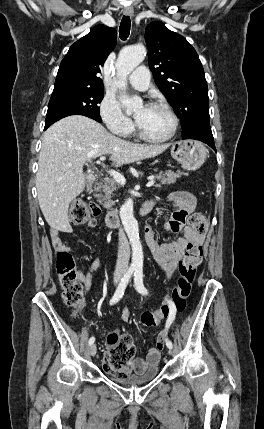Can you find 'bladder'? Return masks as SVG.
Returning a JSON list of instances; mask_svg holds the SVG:
<instances>
[{
	"mask_svg": "<svg viewBox=\"0 0 264 429\" xmlns=\"http://www.w3.org/2000/svg\"><path fill=\"white\" fill-rule=\"evenodd\" d=\"M159 373L158 367L154 366L142 374H131L126 377L111 376V380L124 386H136L151 382Z\"/></svg>",
	"mask_w": 264,
	"mask_h": 429,
	"instance_id": "31cf9c89",
	"label": "bladder"
}]
</instances>
